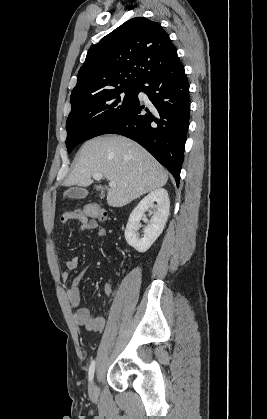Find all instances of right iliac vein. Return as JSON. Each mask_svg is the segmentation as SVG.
Returning a JSON list of instances; mask_svg holds the SVG:
<instances>
[{"label":"right iliac vein","instance_id":"1","mask_svg":"<svg viewBox=\"0 0 267 419\" xmlns=\"http://www.w3.org/2000/svg\"><path fill=\"white\" fill-rule=\"evenodd\" d=\"M89 393H90V395H91L92 397H95V396L97 395V388H96V384H95V382H94V381H92V382L90 383V386H89Z\"/></svg>","mask_w":267,"mask_h":419}]
</instances>
